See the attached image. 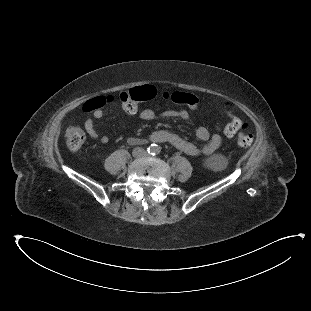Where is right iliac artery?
<instances>
[{
    "instance_id": "obj_1",
    "label": "right iliac artery",
    "mask_w": 311,
    "mask_h": 311,
    "mask_svg": "<svg viewBox=\"0 0 311 311\" xmlns=\"http://www.w3.org/2000/svg\"><path fill=\"white\" fill-rule=\"evenodd\" d=\"M151 152H152V150L150 148H148V153H151Z\"/></svg>"
}]
</instances>
